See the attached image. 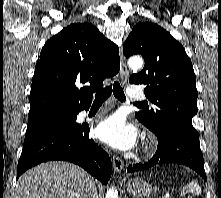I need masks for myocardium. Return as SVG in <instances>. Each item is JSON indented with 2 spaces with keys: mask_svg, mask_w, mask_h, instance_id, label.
Listing matches in <instances>:
<instances>
[{
  "mask_svg": "<svg viewBox=\"0 0 221 198\" xmlns=\"http://www.w3.org/2000/svg\"><path fill=\"white\" fill-rule=\"evenodd\" d=\"M153 143L152 142H147L143 148V154H149L151 150L153 149Z\"/></svg>",
  "mask_w": 221,
  "mask_h": 198,
  "instance_id": "1",
  "label": "myocardium"
}]
</instances>
